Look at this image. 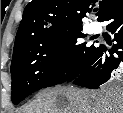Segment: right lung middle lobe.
<instances>
[{
    "label": "right lung middle lobe",
    "instance_id": "1",
    "mask_svg": "<svg viewBox=\"0 0 123 113\" xmlns=\"http://www.w3.org/2000/svg\"><path fill=\"white\" fill-rule=\"evenodd\" d=\"M85 36L82 28L72 29L15 47L11 62L13 103L78 77L96 48L82 42Z\"/></svg>",
    "mask_w": 123,
    "mask_h": 113
}]
</instances>
